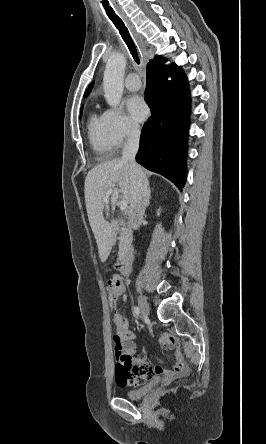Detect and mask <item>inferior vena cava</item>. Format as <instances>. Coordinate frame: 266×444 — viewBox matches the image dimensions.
<instances>
[{
	"label": "inferior vena cava",
	"mask_w": 266,
	"mask_h": 444,
	"mask_svg": "<svg viewBox=\"0 0 266 444\" xmlns=\"http://www.w3.org/2000/svg\"><path fill=\"white\" fill-rule=\"evenodd\" d=\"M140 129L138 126H130L127 130V140L123 148L122 160L130 163L134 174V188L130 205V224L134 230L140 227L146 207L149 204V182L136 163L135 156L139 148Z\"/></svg>",
	"instance_id": "1"
}]
</instances>
